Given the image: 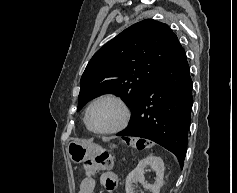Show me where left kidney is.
Wrapping results in <instances>:
<instances>
[{"label": "left kidney", "mask_w": 237, "mask_h": 193, "mask_svg": "<svg viewBox=\"0 0 237 193\" xmlns=\"http://www.w3.org/2000/svg\"><path fill=\"white\" fill-rule=\"evenodd\" d=\"M151 166L156 171V180L154 184L145 182L144 169ZM164 177V162L161 158L150 155L141 160L136 168L132 170L126 178V193H135L133 183L140 182L145 189L152 193H160V188L163 185Z\"/></svg>", "instance_id": "1"}]
</instances>
